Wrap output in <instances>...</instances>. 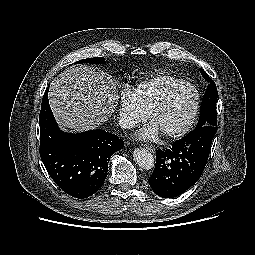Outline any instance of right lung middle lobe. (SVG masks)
Listing matches in <instances>:
<instances>
[{"label":"right lung middle lobe","mask_w":255,"mask_h":255,"mask_svg":"<svg viewBox=\"0 0 255 255\" xmlns=\"http://www.w3.org/2000/svg\"><path fill=\"white\" fill-rule=\"evenodd\" d=\"M90 63V64H102L104 62V59L102 57H98V58H87V59H83L80 61H77V63Z\"/></svg>","instance_id":"obj_1"}]
</instances>
